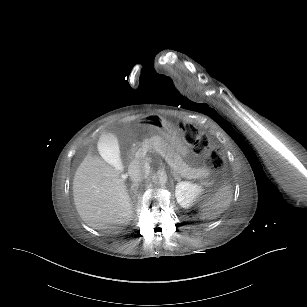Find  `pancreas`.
I'll return each instance as SVG.
<instances>
[{
  "label": "pancreas",
  "mask_w": 307,
  "mask_h": 307,
  "mask_svg": "<svg viewBox=\"0 0 307 307\" xmlns=\"http://www.w3.org/2000/svg\"><path fill=\"white\" fill-rule=\"evenodd\" d=\"M145 146L150 152H157L159 154L163 153V156L165 157L166 161L169 159L173 163L178 164V166L181 167L182 172H188L187 174H189L190 176L206 178L209 175L208 170L203 167L198 168L191 164L186 165L184 160H178L177 157H175L170 151H168L167 143L160 136L153 135L150 140H146Z\"/></svg>",
  "instance_id": "1"
}]
</instances>
